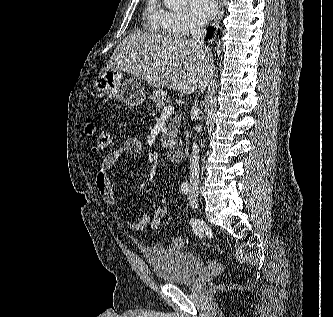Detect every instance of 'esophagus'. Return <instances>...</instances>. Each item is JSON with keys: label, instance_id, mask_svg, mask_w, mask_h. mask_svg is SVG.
Returning a JSON list of instances; mask_svg holds the SVG:
<instances>
[{"label": "esophagus", "instance_id": "esophagus-1", "mask_svg": "<svg viewBox=\"0 0 333 317\" xmlns=\"http://www.w3.org/2000/svg\"><path fill=\"white\" fill-rule=\"evenodd\" d=\"M223 13H224V4L222 2V0H220V3H219V14L217 15V17L215 18L214 20V24H217L218 21L221 19V17L223 16Z\"/></svg>", "mask_w": 333, "mask_h": 317}]
</instances>
